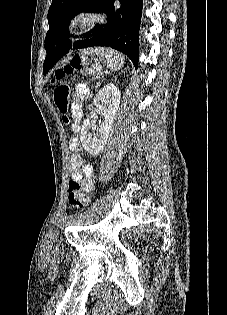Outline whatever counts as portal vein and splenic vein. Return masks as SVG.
Returning a JSON list of instances; mask_svg holds the SVG:
<instances>
[{
  "label": "portal vein and splenic vein",
  "mask_w": 227,
  "mask_h": 315,
  "mask_svg": "<svg viewBox=\"0 0 227 315\" xmlns=\"http://www.w3.org/2000/svg\"><path fill=\"white\" fill-rule=\"evenodd\" d=\"M97 70H100V68L97 66Z\"/></svg>",
  "instance_id": "portal-vein-and-splenic-vein-1"
}]
</instances>
